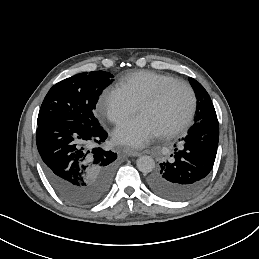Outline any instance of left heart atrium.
I'll use <instances>...</instances> for the list:
<instances>
[{
  "label": "left heart atrium",
  "instance_id": "left-heart-atrium-1",
  "mask_svg": "<svg viewBox=\"0 0 259 259\" xmlns=\"http://www.w3.org/2000/svg\"><path fill=\"white\" fill-rule=\"evenodd\" d=\"M145 118L138 116L121 123L114 131V139L133 147H142L160 135Z\"/></svg>",
  "mask_w": 259,
  "mask_h": 259
}]
</instances>
